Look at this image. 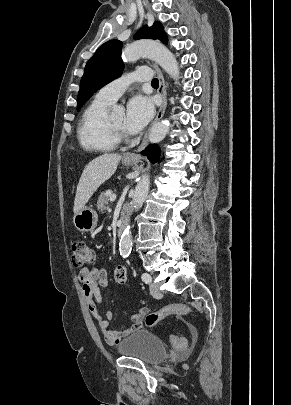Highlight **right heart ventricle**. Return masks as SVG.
Wrapping results in <instances>:
<instances>
[{
  "mask_svg": "<svg viewBox=\"0 0 291 405\" xmlns=\"http://www.w3.org/2000/svg\"><path fill=\"white\" fill-rule=\"evenodd\" d=\"M111 103L95 97L84 110L78 125L77 135L81 147L91 152L113 151L117 142L112 137L107 123V109Z\"/></svg>",
  "mask_w": 291,
  "mask_h": 405,
  "instance_id": "1",
  "label": "right heart ventricle"
}]
</instances>
